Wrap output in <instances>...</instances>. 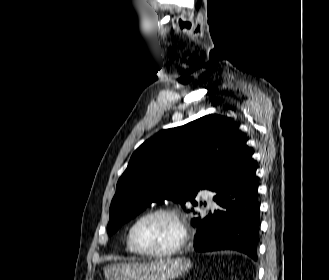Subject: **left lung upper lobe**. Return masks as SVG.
<instances>
[{"instance_id": "left-lung-upper-lobe-1", "label": "left lung upper lobe", "mask_w": 329, "mask_h": 280, "mask_svg": "<svg viewBox=\"0 0 329 280\" xmlns=\"http://www.w3.org/2000/svg\"><path fill=\"white\" fill-rule=\"evenodd\" d=\"M242 133L230 119L207 115L186 125L162 130L131 156L118 180L110 206L109 235L152 203L171 199L187 212L198 205L200 189L219 192L240 170ZM202 204V203H201ZM199 218L192 219L197 226Z\"/></svg>"}]
</instances>
